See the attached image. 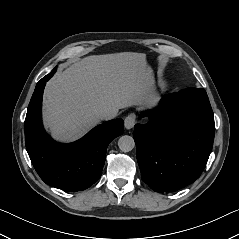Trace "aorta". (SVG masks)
I'll return each instance as SVG.
<instances>
[{"label": "aorta", "instance_id": "762f6f07", "mask_svg": "<svg viewBox=\"0 0 239 239\" xmlns=\"http://www.w3.org/2000/svg\"><path fill=\"white\" fill-rule=\"evenodd\" d=\"M118 147L123 152H129L135 147L133 137L129 135L121 136L118 140Z\"/></svg>", "mask_w": 239, "mask_h": 239}]
</instances>
